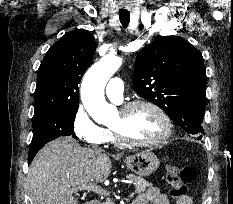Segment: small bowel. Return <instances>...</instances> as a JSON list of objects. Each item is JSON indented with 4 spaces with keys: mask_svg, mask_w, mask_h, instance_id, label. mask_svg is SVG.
I'll return each instance as SVG.
<instances>
[{
    "mask_svg": "<svg viewBox=\"0 0 233 204\" xmlns=\"http://www.w3.org/2000/svg\"><path fill=\"white\" fill-rule=\"evenodd\" d=\"M133 204H170V201L158 188L150 187L139 194ZM176 204H193V202L188 195L182 194L176 198Z\"/></svg>",
    "mask_w": 233,
    "mask_h": 204,
    "instance_id": "1",
    "label": "small bowel"
}]
</instances>
